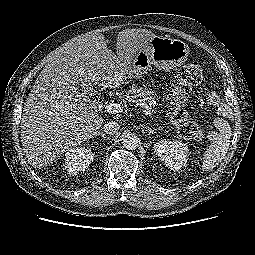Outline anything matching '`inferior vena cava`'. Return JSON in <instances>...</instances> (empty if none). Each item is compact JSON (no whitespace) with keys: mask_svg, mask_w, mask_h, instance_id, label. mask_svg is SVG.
Instances as JSON below:
<instances>
[{"mask_svg":"<svg viewBox=\"0 0 255 255\" xmlns=\"http://www.w3.org/2000/svg\"><path fill=\"white\" fill-rule=\"evenodd\" d=\"M120 129V124L115 121L107 122L104 125V132L107 134H116L118 130Z\"/></svg>","mask_w":255,"mask_h":255,"instance_id":"obj_1","label":"inferior vena cava"}]
</instances>
